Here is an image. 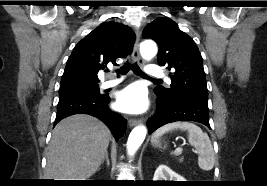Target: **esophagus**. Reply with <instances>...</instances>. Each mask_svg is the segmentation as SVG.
Returning <instances> with one entry per match:
<instances>
[{"instance_id":"34e87169","label":"esophagus","mask_w":267,"mask_h":186,"mask_svg":"<svg viewBox=\"0 0 267 186\" xmlns=\"http://www.w3.org/2000/svg\"><path fill=\"white\" fill-rule=\"evenodd\" d=\"M136 40H135V44H134V48H133V52H132V60L133 61H137L140 65L143 64V61L140 57L139 54V43H140V31L139 29H136ZM143 122L142 119H130L129 120V126L130 127H134L136 125H139Z\"/></svg>"}]
</instances>
